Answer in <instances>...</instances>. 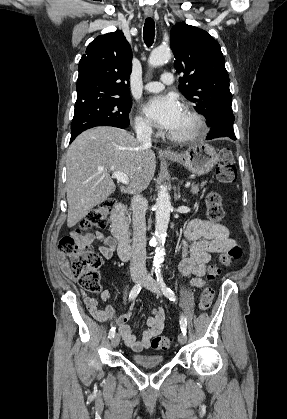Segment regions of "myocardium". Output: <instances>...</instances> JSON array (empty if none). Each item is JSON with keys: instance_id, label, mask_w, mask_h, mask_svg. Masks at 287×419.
Wrapping results in <instances>:
<instances>
[{"instance_id": "myocardium-1", "label": "myocardium", "mask_w": 287, "mask_h": 419, "mask_svg": "<svg viewBox=\"0 0 287 419\" xmlns=\"http://www.w3.org/2000/svg\"><path fill=\"white\" fill-rule=\"evenodd\" d=\"M184 112L193 121L194 128L183 134H169V138L175 142H189L203 137L207 133V125L204 118L194 109L185 108Z\"/></svg>"}]
</instances>
